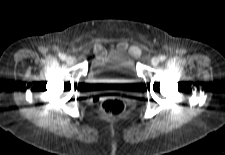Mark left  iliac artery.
I'll return each mask as SVG.
<instances>
[{
  "mask_svg": "<svg viewBox=\"0 0 225 155\" xmlns=\"http://www.w3.org/2000/svg\"><path fill=\"white\" fill-rule=\"evenodd\" d=\"M165 59H166L165 56H163V55L160 56V60H161V61H164Z\"/></svg>",
  "mask_w": 225,
  "mask_h": 155,
  "instance_id": "obj_1",
  "label": "left iliac artery"
}]
</instances>
